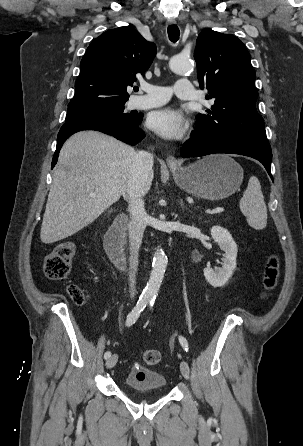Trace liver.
<instances>
[{
	"mask_svg": "<svg viewBox=\"0 0 303 446\" xmlns=\"http://www.w3.org/2000/svg\"><path fill=\"white\" fill-rule=\"evenodd\" d=\"M134 148L94 131L72 135L63 145L43 216L45 244L68 238L97 219L127 188ZM153 170L145 184L150 189ZM95 193L90 196V193Z\"/></svg>",
	"mask_w": 303,
	"mask_h": 446,
	"instance_id": "liver-1",
	"label": "liver"
}]
</instances>
